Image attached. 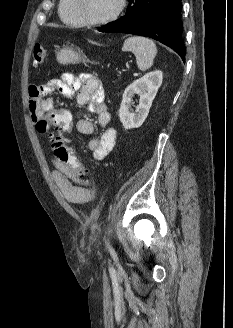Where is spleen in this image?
<instances>
[{"instance_id":"1","label":"spleen","mask_w":233,"mask_h":328,"mask_svg":"<svg viewBox=\"0 0 233 328\" xmlns=\"http://www.w3.org/2000/svg\"><path fill=\"white\" fill-rule=\"evenodd\" d=\"M122 50L130 51L136 57V63L141 71H146L153 65L154 58L157 54L155 43L143 36H132L124 41Z\"/></svg>"}]
</instances>
